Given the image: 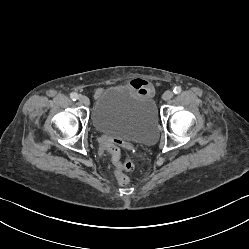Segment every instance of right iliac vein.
<instances>
[{
    "instance_id": "1",
    "label": "right iliac vein",
    "mask_w": 249,
    "mask_h": 249,
    "mask_svg": "<svg viewBox=\"0 0 249 249\" xmlns=\"http://www.w3.org/2000/svg\"><path fill=\"white\" fill-rule=\"evenodd\" d=\"M79 101L81 104L86 105V106H88L90 103L89 98L87 96H84V95L79 97Z\"/></svg>"
}]
</instances>
